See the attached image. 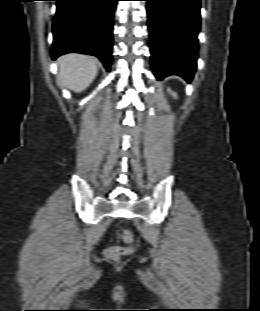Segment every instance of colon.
Returning a JSON list of instances; mask_svg holds the SVG:
<instances>
[{
  "instance_id": "obj_1",
  "label": "colon",
  "mask_w": 260,
  "mask_h": 311,
  "mask_svg": "<svg viewBox=\"0 0 260 311\" xmlns=\"http://www.w3.org/2000/svg\"><path fill=\"white\" fill-rule=\"evenodd\" d=\"M122 239L129 244L127 247H110L105 251L107 257L111 259H119L123 255L130 254L134 251L133 242L134 237L133 234L129 230H124L121 233Z\"/></svg>"
}]
</instances>
